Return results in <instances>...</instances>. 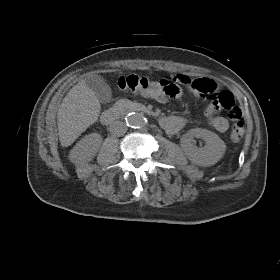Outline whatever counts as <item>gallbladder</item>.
Masks as SVG:
<instances>
[{
	"label": "gallbladder",
	"mask_w": 280,
	"mask_h": 280,
	"mask_svg": "<svg viewBox=\"0 0 280 280\" xmlns=\"http://www.w3.org/2000/svg\"><path fill=\"white\" fill-rule=\"evenodd\" d=\"M86 84L95 92V95L100 102L107 103L111 100V88L101 76L94 75L87 78Z\"/></svg>",
	"instance_id": "bac80fb5"
}]
</instances>
